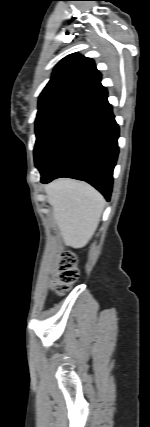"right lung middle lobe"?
<instances>
[{
  "mask_svg": "<svg viewBox=\"0 0 150 427\" xmlns=\"http://www.w3.org/2000/svg\"><path fill=\"white\" fill-rule=\"evenodd\" d=\"M80 109L71 107H51L39 110L35 121L36 144L35 165L39 169L55 140L78 114Z\"/></svg>",
  "mask_w": 150,
  "mask_h": 427,
  "instance_id": "1",
  "label": "right lung middle lobe"
}]
</instances>
